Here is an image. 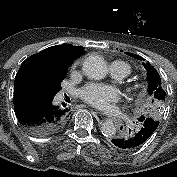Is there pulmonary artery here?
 <instances>
[{
    "label": "pulmonary artery",
    "instance_id": "pulmonary-artery-1",
    "mask_svg": "<svg viewBox=\"0 0 177 177\" xmlns=\"http://www.w3.org/2000/svg\"><path fill=\"white\" fill-rule=\"evenodd\" d=\"M111 75L116 79H123L130 74L126 64L122 61H115L110 67Z\"/></svg>",
    "mask_w": 177,
    "mask_h": 177
}]
</instances>
